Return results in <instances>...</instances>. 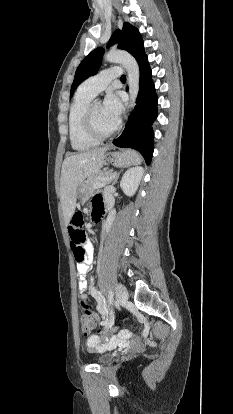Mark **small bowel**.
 I'll list each match as a JSON object with an SVG mask.
<instances>
[{
    "label": "small bowel",
    "mask_w": 233,
    "mask_h": 414,
    "mask_svg": "<svg viewBox=\"0 0 233 414\" xmlns=\"http://www.w3.org/2000/svg\"><path fill=\"white\" fill-rule=\"evenodd\" d=\"M95 209L101 210V202L100 198H96L93 203V211ZM85 251L86 256L84 261L77 262V271L79 274V283H78V289L81 293L82 298H86V292H89L92 297L96 300V310L99 311L102 314H107L108 311L113 310L112 304H105L104 299L102 298L101 294L99 293L96 285L94 283L88 284L86 280V274L90 270L92 262H93V247L90 243L85 244ZM76 259V258H75ZM96 340L95 336H92L89 340L90 343H94Z\"/></svg>",
    "instance_id": "small-bowel-1"
}]
</instances>
